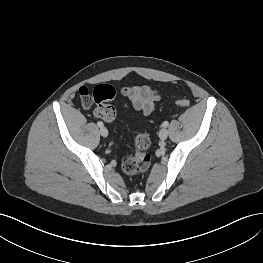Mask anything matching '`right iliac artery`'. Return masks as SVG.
<instances>
[{"mask_svg": "<svg viewBox=\"0 0 263 263\" xmlns=\"http://www.w3.org/2000/svg\"><path fill=\"white\" fill-rule=\"evenodd\" d=\"M97 125L99 126V127H103V122H101V121H99V122H97Z\"/></svg>", "mask_w": 263, "mask_h": 263, "instance_id": "1", "label": "right iliac artery"}]
</instances>
